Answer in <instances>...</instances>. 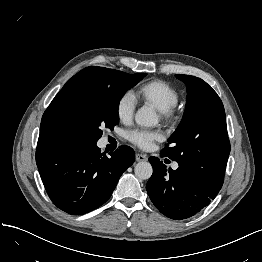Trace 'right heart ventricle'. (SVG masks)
Wrapping results in <instances>:
<instances>
[{
    "label": "right heart ventricle",
    "mask_w": 262,
    "mask_h": 262,
    "mask_svg": "<svg viewBox=\"0 0 262 262\" xmlns=\"http://www.w3.org/2000/svg\"><path fill=\"white\" fill-rule=\"evenodd\" d=\"M134 98L150 104L159 111H165L176 105L178 92L163 80H152L141 85L134 94Z\"/></svg>",
    "instance_id": "right-heart-ventricle-1"
}]
</instances>
